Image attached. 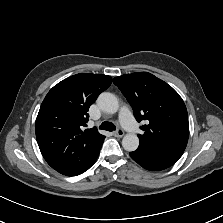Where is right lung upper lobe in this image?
Listing matches in <instances>:
<instances>
[{
	"mask_svg": "<svg viewBox=\"0 0 223 223\" xmlns=\"http://www.w3.org/2000/svg\"><path fill=\"white\" fill-rule=\"evenodd\" d=\"M111 82L106 75L76 74L56 84L43 100L36 139L47 163L59 173L78 175L99 152L105 136L82 126H87L89 107Z\"/></svg>",
	"mask_w": 223,
	"mask_h": 223,
	"instance_id": "cb5924a9",
	"label": "right lung upper lobe"
}]
</instances>
